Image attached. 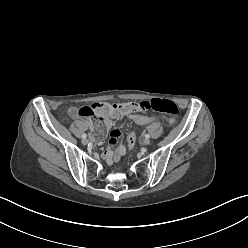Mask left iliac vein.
Masks as SVG:
<instances>
[{"instance_id": "4c4485c4", "label": "left iliac vein", "mask_w": 248, "mask_h": 248, "mask_svg": "<svg viewBox=\"0 0 248 248\" xmlns=\"http://www.w3.org/2000/svg\"><path fill=\"white\" fill-rule=\"evenodd\" d=\"M143 144H144V145H149V144H150V140L147 139V138L144 139V140H143Z\"/></svg>"}]
</instances>
